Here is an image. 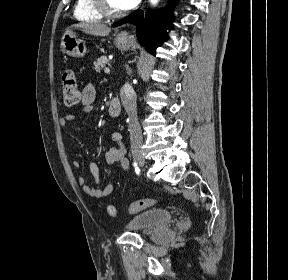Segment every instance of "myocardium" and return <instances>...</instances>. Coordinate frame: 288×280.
Wrapping results in <instances>:
<instances>
[{
    "mask_svg": "<svg viewBox=\"0 0 288 280\" xmlns=\"http://www.w3.org/2000/svg\"><path fill=\"white\" fill-rule=\"evenodd\" d=\"M94 6L97 11L106 18H118L123 13L121 11H115L110 8L107 0H93Z\"/></svg>",
    "mask_w": 288,
    "mask_h": 280,
    "instance_id": "f54148a6",
    "label": "myocardium"
}]
</instances>
